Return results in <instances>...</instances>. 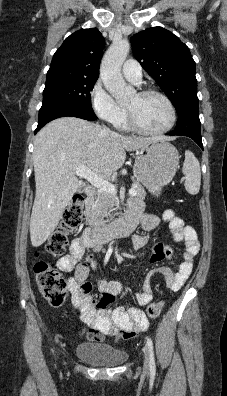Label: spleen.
Returning <instances> with one entry per match:
<instances>
[{"label":"spleen","instance_id":"spleen-1","mask_svg":"<svg viewBox=\"0 0 227 396\" xmlns=\"http://www.w3.org/2000/svg\"><path fill=\"white\" fill-rule=\"evenodd\" d=\"M182 172L185 175V189L189 194L196 195L201 185L200 164L195 155L189 151H185V160Z\"/></svg>","mask_w":227,"mask_h":396}]
</instances>
